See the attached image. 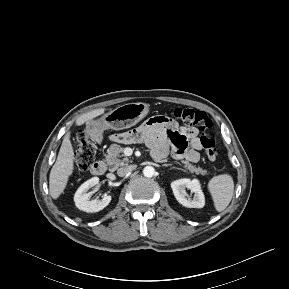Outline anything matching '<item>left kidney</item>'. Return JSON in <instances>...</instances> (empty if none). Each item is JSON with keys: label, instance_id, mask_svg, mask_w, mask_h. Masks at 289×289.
Returning <instances> with one entry per match:
<instances>
[{"label": "left kidney", "instance_id": "obj_1", "mask_svg": "<svg viewBox=\"0 0 289 289\" xmlns=\"http://www.w3.org/2000/svg\"><path fill=\"white\" fill-rule=\"evenodd\" d=\"M174 196L177 201L188 208H203L205 205V197L201 190L200 182L197 179H179L171 183ZM186 188L194 194L190 198L186 193Z\"/></svg>", "mask_w": 289, "mask_h": 289}]
</instances>
